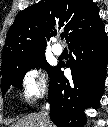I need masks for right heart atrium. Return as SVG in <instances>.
Masks as SVG:
<instances>
[{
	"label": "right heart atrium",
	"instance_id": "obj_1",
	"mask_svg": "<svg viewBox=\"0 0 108 127\" xmlns=\"http://www.w3.org/2000/svg\"><path fill=\"white\" fill-rule=\"evenodd\" d=\"M21 83L23 96L33 100L45 94L48 86V78L42 69L32 67L24 73Z\"/></svg>",
	"mask_w": 108,
	"mask_h": 127
}]
</instances>
